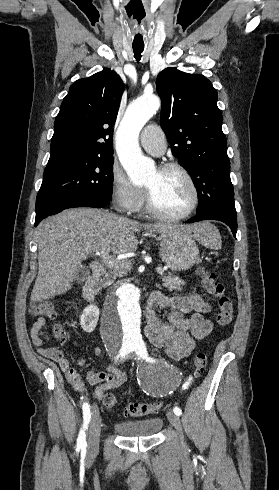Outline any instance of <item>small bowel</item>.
Here are the masks:
<instances>
[{"label": "small bowel", "instance_id": "small-bowel-1", "mask_svg": "<svg viewBox=\"0 0 279 490\" xmlns=\"http://www.w3.org/2000/svg\"><path fill=\"white\" fill-rule=\"evenodd\" d=\"M161 309L167 310L164 320L160 314ZM210 310V304L196 294L170 296L153 292L145 308L144 334L158 352L171 360L179 361L190 355L197 340L204 339L212 331V322L204 317ZM184 314L190 316L185 318ZM47 323V319H37L30 329V339L41 356L59 364L67 380L77 391L86 393L87 385H91L94 386V397L101 399L105 392L116 389L127 381L126 371L108 367L102 371H89L84 382L62 351L43 347L46 335L44 327ZM102 352L100 346H95L92 350L96 357L101 356Z\"/></svg>", "mask_w": 279, "mask_h": 490}]
</instances>
